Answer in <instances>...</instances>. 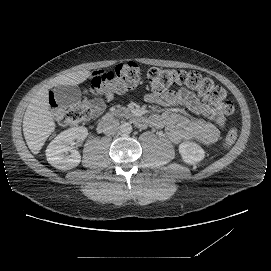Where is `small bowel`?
Here are the masks:
<instances>
[{
  "mask_svg": "<svg viewBox=\"0 0 271 271\" xmlns=\"http://www.w3.org/2000/svg\"><path fill=\"white\" fill-rule=\"evenodd\" d=\"M99 72L101 71L93 72L91 77ZM145 99L149 103L166 107L181 106L197 116L187 118L171 112L151 116L152 124L163 128L168 138L174 143L188 140H197L207 144L214 143L218 140L224 127V116L215 112L209 105L187 89L164 94L151 93L147 94Z\"/></svg>",
  "mask_w": 271,
  "mask_h": 271,
  "instance_id": "c3829d8e",
  "label": "small bowel"
}]
</instances>
